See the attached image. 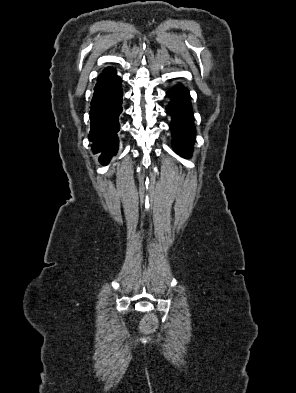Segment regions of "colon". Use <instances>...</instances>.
I'll return each mask as SVG.
<instances>
[{
    "label": "colon",
    "mask_w": 296,
    "mask_h": 393,
    "mask_svg": "<svg viewBox=\"0 0 296 393\" xmlns=\"http://www.w3.org/2000/svg\"><path fill=\"white\" fill-rule=\"evenodd\" d=\"M157 326L158 320L154 314H149L145 316L140 322V327L145 333H151L155 331Z\"/></svg>",
    "instance_id": "obj_1"
}]
</instances>
